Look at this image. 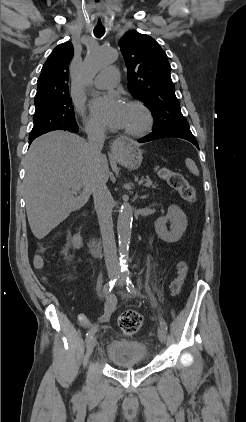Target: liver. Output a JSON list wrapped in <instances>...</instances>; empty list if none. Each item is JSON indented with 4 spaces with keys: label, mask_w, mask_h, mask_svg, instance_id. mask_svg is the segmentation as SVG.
Wrapping results in <instances>:
<instances>
[{
    "label": "liver",
    "mask_w": 246,
    "mask_h": 422,
    "mask_svg": "<svg viewBox=\"0 0 246 422\" xmlns=\"http://www.w3.org/2000/svg\"><path fill=\"white\" fill-rule=\"evenodd\" d=\"M25 172L27 218L38 239L88 202L98 173L106 180L109 177L106 156L97 160L83 138L65 131L49 132L33 141Z\"/></svg>",
    "instance_id": "6515ba94"
}]
</instances>
